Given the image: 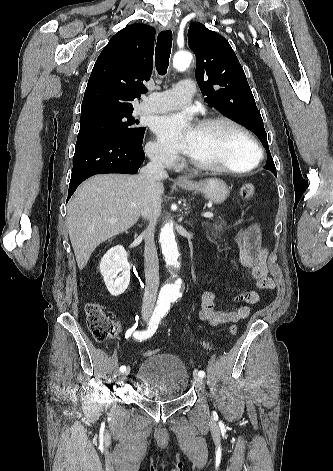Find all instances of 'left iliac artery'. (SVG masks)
Instances as JSON below:
<instances>
[{
  "label": "left iliac artery",
  "instance_id": "left-iliac-artery-1",
  "mask_svg": "<svg viewBox=\"0 0 333 471\" xmlns=\"http://www.w3.org/2000/svg\"><path fill=\"white\" fill-rule=\"evenodd\" d=\"M164 315H165V312L162 313V316H164ZM198 375L203 378V377H205V372L202 371V370H200V371L198 372Z\"/></svg>",
  "mask_w": 333,
  "mask_h": 471
}]
</instances>
